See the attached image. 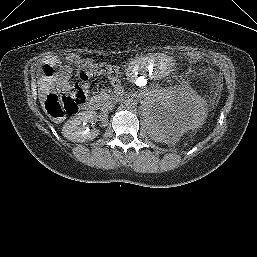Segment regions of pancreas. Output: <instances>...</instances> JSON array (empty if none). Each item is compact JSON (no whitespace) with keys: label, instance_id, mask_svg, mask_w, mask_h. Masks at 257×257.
I'll list each match as a JSON object with an SVG mask.
<instances>
[{"label":"pancreas","instance_id":"1","mask_svg":"<svg viewBox=\"0 0 257 257\" xmlns=\"http://www.w3.org/2000/svg\"><path fill=\"white\" fill-rule=\"evenodd\" d=\"M96 99H99V100H101V97L99 96V97H96Z\"/></svg>","mask_w":257,"mask_h":257}]
</instances>
